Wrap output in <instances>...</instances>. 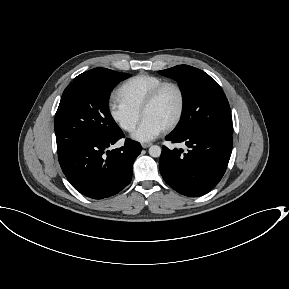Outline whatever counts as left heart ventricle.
<instances>
[{
    "label": "left heart ventricle",
    "instance_id": "1",
    "mask_svg": "<svg viewBox=\"0 0 289 289\" xmlns=\"http://www.w3.org/2000/svg\"><path fill=\"white\" fill-rule=\"evenodd\" d=\"M178 106L177 91L172 87H167L156 102L145 111L143 117L154 119L166 127L175 117Z\"/></svg>",
    "mask_w": 289,
    "mask_h": 289
}]
</instances>
